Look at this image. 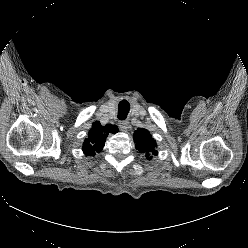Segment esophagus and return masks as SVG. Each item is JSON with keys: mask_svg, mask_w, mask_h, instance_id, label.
<instances>
[{"mask_svg": "<svg viewBox=\"0 0 248 248\" xmlns=\"http://www.w3.org/2000/svg\"><path fill=\"white\" fill-rule=\"evenodd\" d=\"M119 128L121 129V131L126 132L129 128V122L128 121H120L119 122Z\"/></svg>", "mask_w": 248, "mask_h": 248, "instance_id": "1", "label": "esophagus"}]
</instances>
